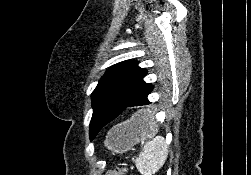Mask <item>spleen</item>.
Returning <instances> with one entry per match:
<instances>
[{"label": "spleen", "instance_id": "spleen-1", "mask_svg": "<svg viewBox=\"0 0 251 175\" xmlns=\"http://www.w3.org/2000/svg\"><path fill=\"white\" fill-rule=\"evenodd\" d=\"M138 113H140V115H146L147 119L151 117V111H145V109H140ZM167 147L168 145L161 135H156L153 139L145 141L138 157L135 159V165L138 171H140L142 175H152V173H156V171L162 167L163 163H165V159H167Z\"/></svg>", "mask_w": 251, "mask_h": 175}]
</instances>
